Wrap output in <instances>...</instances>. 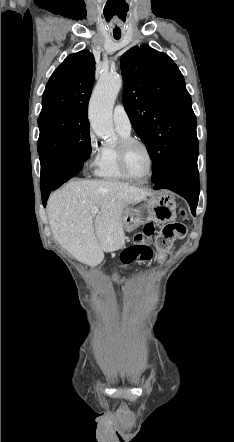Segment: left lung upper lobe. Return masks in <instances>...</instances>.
Wrapping results in <instances>:
<instances>
[{
    "label": "left lung upper lobe",
    "mask_w": 234,
    "mask_h": 442,
    "mask_svg": "<svg viewBox=\"0 0 234 442\" xmlns=\"http://www.w3.org/2000/svg\"><path fill=\"white\" fill-rule=\"evenodd\" d=\"M123 104L153 161L152 181L164 177L180 152L197 139L196 116L184 78L173 60L148 45L120 58Z\"/></svg>",
    "instance_id": "obj_1"
}]
</instances>
